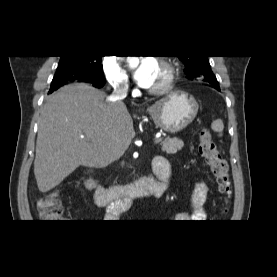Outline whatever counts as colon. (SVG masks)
Segmentation results:
<instances>
[{
  "instance_id": "obj_1",
  "label": "colon",
  "mask_w": 277,
  "mask_h": 277,
  "mask_svg": "<svg viewBox=\"0 0 277 277\" xmlns=\"http://www.w3.org/2000/svg\"><path fill=\"white\" fill-rule=\"evenodd\" d=\"M199 153L209 166L211 173L224 200L231 194V181L226 160L221 155L216 142L207 130H203L199 136ZM37 208L40 218L44 222H57L62 215L63 207L57 194L48 193L39 199Z\"/></svg>"
}]
</instances>
